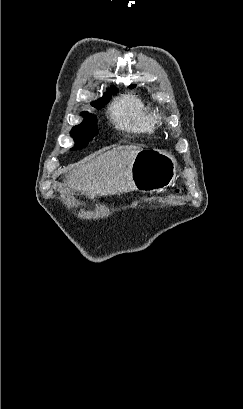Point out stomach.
Wrapping results in <instances>:
<instances>
[{
	"instance_id": "stomach-1",
	"label": "stomach",
	"mask_w": 243,
	"mask_h": 409,
	"mask_svg": "<svg viewBox=\"0 0 243 409\" xmlns=\"http://www.w3.org/2000/svg\"><path fill=\"white\" fill-rule=\"evenodd\" d=\"M176 160L159 149H141L132 163L135 190L160 192L171 185L176 173Z\"/></svg>"
}]
</instances>
